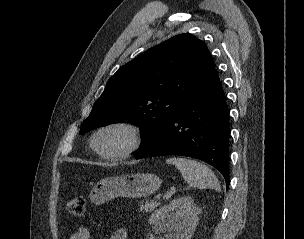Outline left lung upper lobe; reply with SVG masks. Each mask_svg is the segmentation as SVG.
<instances>
[{
  "label": "left lung upper lobe",
  "mask_w": 304,
  "mask_h": 239,
  "mask_svg": "<svg viewBox=\"0 0 304 239\" xmlns=\"http://www.w3.org/2000/svg\"><path fill=\"white\" fill-rule=\"evenodd\" d=\"M214 69V61L201 40L191 34L174 36L120 67L94 103L80 134L130 122L141 127L145 147L168 126Z\"/></svg>",
  "instance_id": "left-lung-upper-lobe-1"
}]
</instances>
